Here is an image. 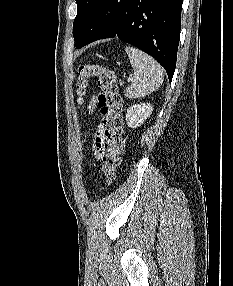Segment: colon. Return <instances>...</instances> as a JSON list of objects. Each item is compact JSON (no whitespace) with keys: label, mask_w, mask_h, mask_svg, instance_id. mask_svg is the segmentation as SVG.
<instances>
[{"label":"colon","mask_w":233,"mask_h":286,"mask_svg":"<svg viewBox=\"0 0 233 286\" xmlns=\"http://www.w3.org/2000/svg\"><path fill=\"white\" fill-rule=\"evenodd\" d=\"M77 94L81 98L88 87L89 79L95 78L100 88L98 106L103 117L106 140L103 157V172L108 182L115 179L124 153L122 98L115 74L99 63L79 64L76 69Z\"/></svg>","instance_id":"obj_1"}]
</instances>
